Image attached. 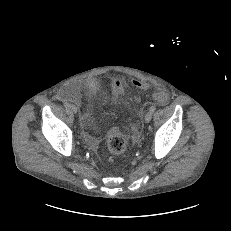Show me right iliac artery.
Here are the masks:
<instances>
[{
    "label": "right iliac artery",
    "instance_id": "1",
    "mask_svg": "<svg viewBox=\"0 0 231 231\" xmlns=\"http://www.w3.org/2000/svg\"><path fill=\"white\" fill-rule=\"evenodd\" d=\"M64 106L67 108V107H69V103H64Z\"/></svg>",
    "mask_w": 231,
    "mask_h": 231
}]
</instances>
